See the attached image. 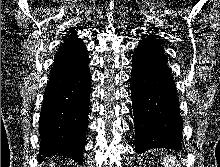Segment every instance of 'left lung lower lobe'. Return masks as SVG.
<instances>
[{"label":"left lung lower lobe","instance_id":"0a47b994","mask_svg":"<svg viewBox=\"0 0 220 167\" xmlns=\"http://www.w3.org/2000/svg\"><path fill=\"white\" fill-rule=\"evenodd\" d=\"M131 95L138 153L148 149L182 150L179 99L164 52L136 49Z\"/></svg>","mask_w":220,"mask_h":167}]
</instances>
